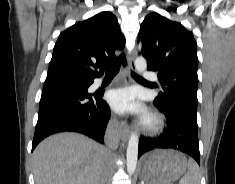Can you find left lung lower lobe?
<instances>
[{
    "label": "left lung lower lobe",
    "mask_w": 235,
    "mask_h": 184,
    "mask_svg": "<svg viewBox=\"0 0 235 184\" xmlns=\"http://www.w3.org/2000/svg\"><path fill=\"white\" fill-rule=\"evenodd\" d=\"M154 104L166 115L167 127L159 137H140L138 158L147 151L168 148L185 152L200 164L196 111L178 102Z\"/></svg>",
    "instance_id": "0a47b994"
}]
</instances>
